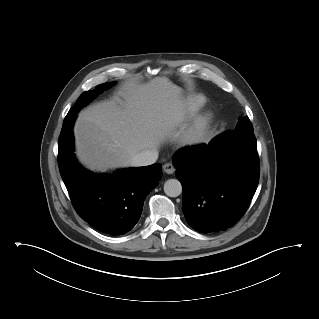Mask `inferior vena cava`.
<instances>
[{
  "label": "inferior vena cava",
  "instance_id": "602c4592",
  "mask_svg": "<svg viewBox=\"0 0 319 319\" xmlns=\"http://www.w3.org/2000/svg\"><path fill=\"white\" fill-rule=\"evenodd\" d=\"M157 159H158L157 150H146L135 155L130 161V166L139 167V166L151 165L155 163Z\"/></svg>",
  "mask_w": 319,
  "mask_h": 319
}]
</instances>
